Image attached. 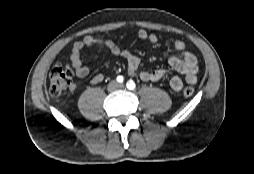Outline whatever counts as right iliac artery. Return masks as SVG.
Segmentation results:
<instances>
[{
	"mask_svg": "<svg viewBox=\"0 0 254 174\" xmlns=\"http://www.w3.org/2000/svg\"><path fill=\"white\" fill-rule=\"evenodd\" d=\"M117 81H118L119 83H122V82L124 81L123 76H118V77H117Z\"/></svg>",
	"mask_w": 254,
	"mask_h": 174,
	"instance_id": "82829eb1",
	"label": "right iliac artery"
}]
</instances>
